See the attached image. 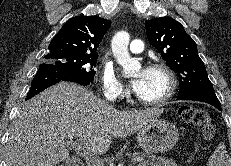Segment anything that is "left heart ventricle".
Here are the masks:
<instances>
[{
    "label": "left heart ventricle",
    "mask_w": 231,
    "mask_h": 166,
    "mask_svg": "<svg viewBox=\"0 0 231 166\" xmlns=\"http://www.w3.org/2000/svg\"><path fill=\"white\" fill-rule=\"evenodd\" d=\"M168 86L166 76L157 70H147L145 84L138 96L146 100H154L162 96Z\"/></svg>",
    "instance_id": "b2bd125f"
}]
</instances>
